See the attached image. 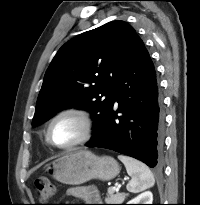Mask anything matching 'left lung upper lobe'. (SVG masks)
I'll list each match as a JSON object with an SVG mask.
<instances>
[{"instance_id": "1", "label": "left lung upper lobe", "mask_w": 200, "mask_h": 205, "mask_svg": "<svg viewBox=\"0 0 200 205\" xmlns=\"http://www.w3.org/2000/svg\"><path fill=\"white\" fill-rule=\"evenodd\" d=\"M136 38L129 24L112 21L65 43L46 71L32 125L63 108L85 109L94 121V139L111 109L114 82Z\"/></svg>"}]
</instances>
